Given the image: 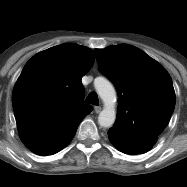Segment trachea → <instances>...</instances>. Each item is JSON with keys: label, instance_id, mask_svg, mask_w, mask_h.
<instances>
[{"label": "trachea", "instance_id": "obj_1", "mask_svg": "<svg viewBox=\"0 0 187 187\" xmlns=\"http://www.w3.org/2000/svg\"><path fill=\"white\" fill-rule=\"evenodd\" d=\"M85 103H89V104H93V105H97L98 106L99 102H98V96H97V94L95 92H91L87 96V98L85 100Z\"/></svg>", "mask_w": 187, "mask_h": 187}]
</instances>
